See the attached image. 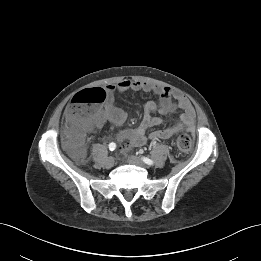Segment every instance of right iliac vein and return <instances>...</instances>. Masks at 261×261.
Returning <instances> with one entry per match:
<instances>
[{
    "label": "right iliac vein",
    "mask_w": 261,
    "mask_h": 261,
    "mask_svg": "<svg viewBox=\"0 0 261 261\" xmlns=\"http://www.w3.org/2000/svg\"><path fill=\"white\" fill-rule=\"evenodd\" d=\"M113 165H114V158L113 157L107 158L105 161V167L111 168V167H113Z\"/></svg>",
    "instance_id": "obj_1"
}]
</instances>
